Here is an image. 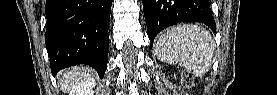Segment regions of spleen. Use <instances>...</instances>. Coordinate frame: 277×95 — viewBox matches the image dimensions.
<instances>
[{"label": "spleen", "instance_id": "obj_1", "mask_svg": "<svg viewBox=\"0 0 277 95\" xmlns=\"http://www.w3.org/2000/svg\"><path fill=\"white\" fill-rule=\"evenodd\" d=\"M215 43L208 31L197 25L180 24L167 30L156 43L157 58L168 64H179L195 76L210 69Z\"/></svg>", "mask_w": 277, "mask_h": 95}]
</instances>
